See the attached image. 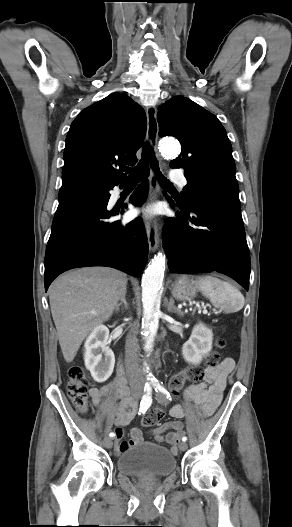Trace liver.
<instances>
[{"instance_id": "6515ba94", "label": "liver", "mask_w": 292, "mask_h": 527, "mask_svg": "<svg viewBox=\"0 0 292 527\" xmlns=\"http://www.w3.org/2000/svg\"><path fill=\"white\" fill-rule=\"evenodd\" d=\"M126 286V274L108 267L73 270L50 285L51 313L67 363L73 361L85 337L110 318Z\"/></svg>"}]
</instances>
